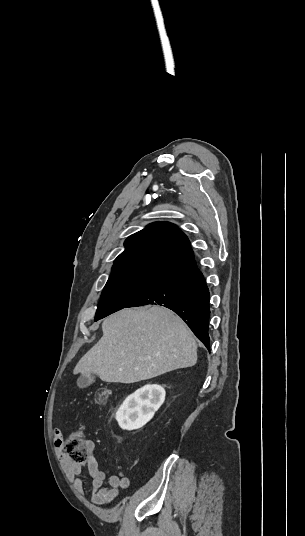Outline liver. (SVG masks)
<instances>
[{
	"instance_id": "obj_1",
	"label": "liver",
	"mask_w": 305,
	"mask_h": 536,
	"mask_svg": "<svg viewBox=\"0 0 305 536\" xmlns=\"http://www.w3.org/2000/svg\"><path fill=\"white\" fill-rule=\"evenodd\" d=\"M103 336L73 370L103 382L134 384L197 362L191 330L162 306L126 308L103 320Z\"/></svg>"
}]
</instances>
